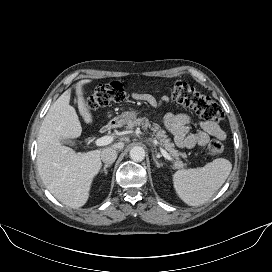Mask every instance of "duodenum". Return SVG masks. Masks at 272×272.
Instances as JSON below:
<instances>
[{
    "mask_svg": "<svg viewBox=\"0 0 272 272\" xmlns=\"http://www.w3.org/2000/svg\"><path fill=\"white\" fill-rule=\"evenodd\" d=\"M112 127V124H107L103 127V131H106Z\"/></svg>",
    "mask_w": 272,
    "mask_h": 272,
    "instance_id": "obj_1",
    "label": "duodenum"
}]
</instances>
